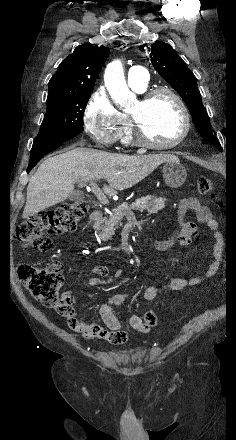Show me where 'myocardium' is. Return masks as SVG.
Wrapping results in <instances>:
<instances>
[{
	"label": "myocardium",
	"mask_w": 236,
	"mask_h": 440,
	"mask_svg": "<svg viewBox=\"0 0 236 440\" xmlns=\"http://www.w3.org/2000/svg\"><path fill=\"white\" fill-rule=\"evenodd\" d=\"M162 94L169 95L176 102L183 118V129L181 134L178 136V138L170 143H166V144L154 143L150 141L145 135L139 119L136 116L130 114L129 123L134 140L139 146L146 149L166 150V149L174 148L179 144H181L187 138L191 129V118H190L189 110L185 102L181 98V96L173 89L161 86L145 91L142 93L139 102L141 105H146L152 99Z\"/></svg>",
	"instance_id": "f54148a6"
}]
</instances>
